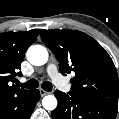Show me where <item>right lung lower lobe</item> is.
I'll use <instances>...</instances> for the list:
<instances>
[{
  "mask_svg": "<svg viewBox=\"0 0 119 119\" xmlns=\"http://www.w3.org/2000/svg\"><path fill=\"white\" fill-rule=\"evenodd\" d=\"M40 99L39 90L24 92L0 98V119H30Z\"/></svg>",
  "mask_w": 119,
  "mask_h": 119,
  "instance_id": "obj_1",
  "label": "right lung lower lobe"
}]
</instances>
